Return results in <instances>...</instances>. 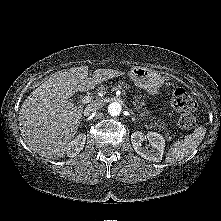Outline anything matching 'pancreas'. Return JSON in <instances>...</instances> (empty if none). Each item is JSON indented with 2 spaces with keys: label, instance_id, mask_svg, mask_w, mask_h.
<instances>
[{
  "label": "pancreas",
  "instance_id": "pancreas-1",
  "mask_svg": "<svg viewBox=\"0 0 221 221\" xmlns=\"http://www.w3.org/2000/svg\"><path fill=\"white\" fill-rule=\"evenodd\" d=\"M111 88L112 90L116 89H130L131 86L127 84L124 81H120L118 85L112 87V86H107V85H102L99 87L98 91L100 93H106V91ZM133 105L135 106V109L140 113V117L144 119L145 121H150L151 127H157L158 129H162L165 133V137L170 141L172 138L169 134V129L164 126V124L160 123L157 118L150 116L149 111L147 110L145 106L144 100L141 99L140 95H136L133 97Z\"/></svg>",
  "mask_w": 221,
  "mask_h": 221
}]
</instances>
